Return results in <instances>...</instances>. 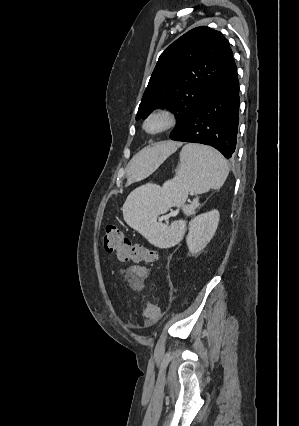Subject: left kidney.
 Returning <instances> with one entry per match:
<instances>
[{
  "label": "left kidney",
  "instance_id": "left-kidney-1",
  "mask_svg": "<svg viewBox=\"0 0 299 426\" xmlns=\"http://www.w3.org/2000/svg\"><path fill=\"white\" fill-rule=\"evenodd\" d=\"M219 218V211L212 210L191 220L186 243L192 255L203 250L213 238L218 227Z\"/></svg>",
  "mask_w": 299,
  "mask_h": 426
}]
</instances>
